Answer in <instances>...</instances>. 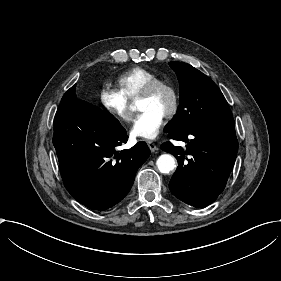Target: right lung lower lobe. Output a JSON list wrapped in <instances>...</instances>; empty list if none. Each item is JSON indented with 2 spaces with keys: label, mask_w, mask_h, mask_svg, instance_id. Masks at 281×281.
Masks as SVG:
<instances>
[{
  "label": "right lung lower lobe",
  "mask_w": 281,
  "mask_h": 281,
  "mask_svg": "<svg viewBox=\"0 0 281 281\" xmlns=\"http://www.w3.org/2000/svg\"><path fill=\"white\" fill-rule=\"evenodd\" d=\"M75 86L56 112L53 144L68 192L90 209L106 210L128 194L150 150L138 142L118 152L128 140L126 130L109 112L78 99Z\"/></svg>",
  "instance_id": "1"
}]
</instances>
